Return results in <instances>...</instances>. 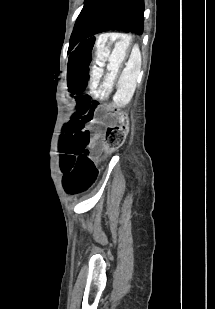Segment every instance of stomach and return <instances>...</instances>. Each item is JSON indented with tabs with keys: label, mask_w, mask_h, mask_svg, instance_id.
<instances>
[{
	"label": "stomach",
	"mask_w": 215,
	"mask_h": 309,
	"mask_svg": "<svg viewBox=\"0 0 215 309\" xmlns=\"http://www.w3.org/2000/svg\"><path fill=\"white\" fill-rule=\"evenodd\" d=\"M96 57L90 74L92 94L105 98L111 91L123 61L133 47L132 36L121 32L101 34L95 43Z\"/></svg>",
	"instance_id": "stomach-1"
}]
</instances>
